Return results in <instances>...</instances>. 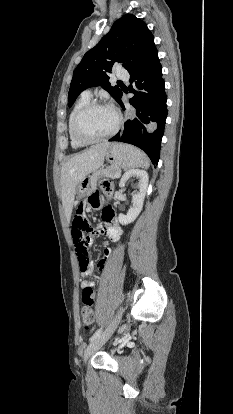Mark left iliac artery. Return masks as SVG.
<instances>
[{
  "instance_id": "44dca946",
  "label": "left iliac artery",
  "mask_w": 233,
  "mask_h": 414,
  "mask_svg": "<svg viewBox=\"0 0 233 414\" xmlns=\"http://www.w3.org/2000/svg\"><path fill=\"white\" fill-rule=\"evenodd\" d=\"M101 332H102V329H99V330H97L94 334H93V336L90 338V341L92 342V341H94L100 334H101Z\"/></svg>"
}]
</instances>
